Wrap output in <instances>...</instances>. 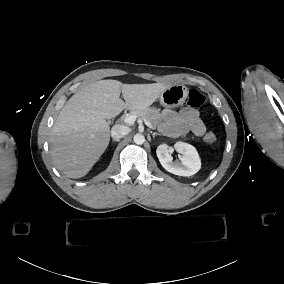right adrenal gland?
<instances>
[{"mask_svg":"<svg viewBox=\"0 0 284 284\" xmlns=\"http://www.w3.org/2000/svg\"><path fill=\"white\" fill-rule=\"evenodd\" d=\"M111 142H120V140H112Z\"/></svg>","mask_w":284,"mask_h":284,"instance_id":"1","label":"right adrenal gland"}]
</instances>
